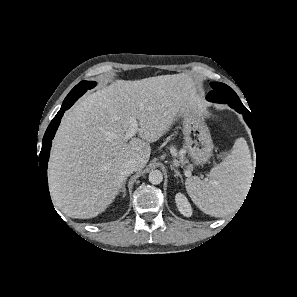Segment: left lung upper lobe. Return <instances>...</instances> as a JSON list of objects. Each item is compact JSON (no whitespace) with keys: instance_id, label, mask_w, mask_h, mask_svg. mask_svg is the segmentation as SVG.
I'll list each match as a JSON object with an SVG mask.
<instances>
[{"instance_id":"1","label":"left lung upper lobe","mask_w":297,"mask_h":297,"mask_svg":"<svg viewBox=\"0 0 297 297\" xmlns=\"http://www.w3.org/2000/svg\"><path fill=\"white\" fill-rule=\"evenodd\" d=\"M212 91L208 93L206 99L211 102L227 103L230 107L247 110L241 103L238 95L232 88L220 82H211Z\"/></svg>"}]
</instances>
